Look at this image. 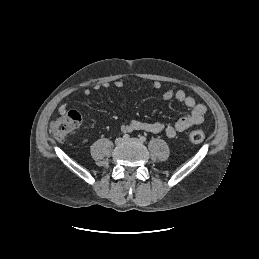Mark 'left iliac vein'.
<instances>
[{
    "label": "left iliac vein",
    "instance_id": "left-iliac-vein-1",
    "mask_svg": "<svg viewBox=\"0 0 259 259\" xmlns=\"http://www.w3.org/2000/svg\"><path fill=\"white\" fill-rule=\"evenodd\" d=\"M127 141H128V142H140V140L137 139V138H130V139H128Z\"/></svg>",
    "mask_w": 259,
    "mask_h": 259
}]
</instances>
